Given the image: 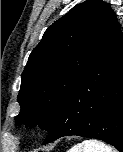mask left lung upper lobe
<instances>
[{"instance_id":"1","label":"left lung upper lobe","mask_w":123,"mask_h":152,"mask_svg":"<svg viewBox=\"0 0 123 152\" xmlns=\"http://www.w3.org/2000/svg\"><path fill=\"white\" fill-rule=\"evenodd\" d=\"M117 18L108 3L87 0L55 21L29 56L22 73L16 125L50 131L56 111L113 31Z\"/></svg>"}]
</instances>
